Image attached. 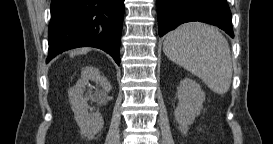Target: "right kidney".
Instances as JSON below:
<instances>
[{
	"label": "right kidney",
	"mask_w": 273,
	"mask_h": 144,
	"mask_svg": "<svg viewBox=\"0 0 273 144\" xmlns=\"http://www.w3.org/2000/svg\"><path fill=\"white\" fill-rule=\"evenodd\" d=\"M90 81L96 82L102 87L96 89V96L101 98L106 97L111 86L105 77L100 76L98 69L86 67L82 71L81 79L69 91V99L74 112V118L80 127L81 133L88 139H93L95 135L103 128L104 120L100 113L90 114L88 105L83 93L86 87L90 86Z\"/></svg>",
	"instance_id": "obj_1"
}]
</instances>
